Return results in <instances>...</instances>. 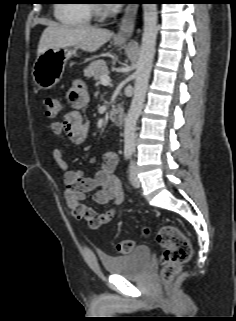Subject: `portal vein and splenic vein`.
<instances>
[{
	"label": "portal vein and splenic vein",
	"mask_w": 236,
	"mask_h": 321,
	"mask_svg": "<svg viewBox=\"0 0 236 321\" xmlns=\"http://www.w3.org/2000/svg\"><path fill=\"white\" fill-rule=\"evenodd\" d=\"M100 81L102 84H109L111 80L108 74H104L101 76Z\"/></svg>",
	"instance_id": "portal-vein-and-splenic-vein-1"
}]
</instances>
